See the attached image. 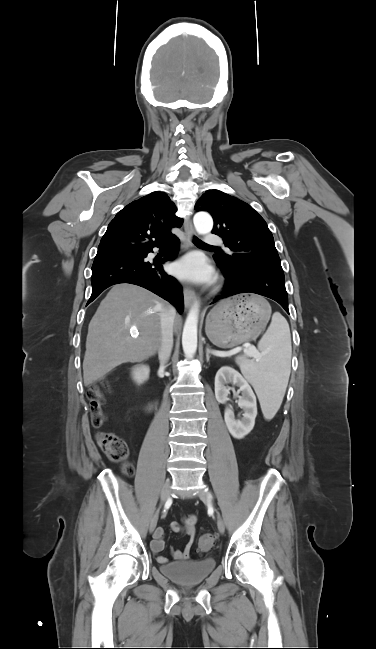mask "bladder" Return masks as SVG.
<instances>
[{"label":"bladder","mask_w":376,"mask_h":649,"mask_svg":"<svg viewBox=\"0 0 376 649\" xmlns=\"http://www.w3.org/2000/svg\"><path fill=\"white\" fill-rule=\"evenodd\" d=\"M213 558L168 562L159 569L168 578L182 585H194L205 580L215 569Z\"/></svg>","instance_id":"bladder-1"}]
</instances>
